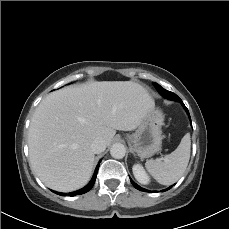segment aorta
<instances>
[{"label": "aorta", "mask_w": 229, "mask_h": 229, "mask_svg": "<svg viewBox=\"0 0 229 229\" xmlns=\"http://www.w3.org/2000/svg\"><path fill=\"white\" fill-rule=\"evenodd\" d=\"M126 148L121 143H115L111 146L110 154L115 159H122L125 156Z\"/></svg>", "instance_id": "1"}]
</instances>
